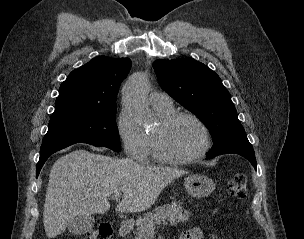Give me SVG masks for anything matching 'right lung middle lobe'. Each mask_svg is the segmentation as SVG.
<instances>
[{
  "label": "right lung middle lobe",
  "instance_id": "obj_1",
  "mask_svg": "<svg viewBox=\"0 0 304 239\" xmlns=\"http://www.w3.org/2000/svg\"><path fill=\"white\" fill-rule=\"evenodd\" d=\"M116 105L98 108H73L54 112L42 146L59 143H88L121 151Z\"/></svg>",
  "mask_w": 304,
  "mask_h": 239
}]
</instances>
